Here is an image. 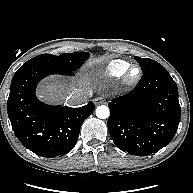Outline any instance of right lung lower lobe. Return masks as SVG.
Here are the masks:
<instances>
[{
  "mask_svg": "<svg viewBox=\"0 0 193 193\" xmlns=\"http://www.w3.org/2000/svg\"><path fill=\"white\" fill-rule=\"evenodd\" d=\"M51 74L72 75L69 70L40 67L18 69L11 81L8 116L16 137L29 150L43 157H56L75 146L83 121L94 111V103L69 108L48 106L35 95L39 81Z\"/></svg>",
  "mask_w": 193,
  "mask_h": 193,
  "instance_id": "1",
  "label": "right lung lower lobe"
}]
</instances>
